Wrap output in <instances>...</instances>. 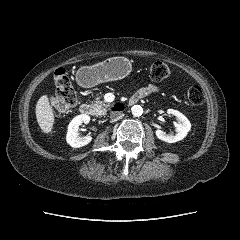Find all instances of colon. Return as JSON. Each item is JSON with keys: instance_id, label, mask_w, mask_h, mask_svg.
I'll use <instances>...</instances> for the list:
<instances>
[{"instance_id": "obj_1", "label": "colon", "mask_w": 240, "mask_h": 240, "mask_svg": "<svg viewBox=\"0 0 240 240\" xmlns=\"http://www.w3.org/2000/svg\"><path fill=\"white\" fill-rule=\"evenodd\" d=\"M170 75L171 69L166 63L157 61L151 65L150 76L153 80L162 81ZM54 86L56 93L51 98V106L55 115H61L77 103L76 91L65 68H58L54 72ZM186 98L194 106H201L205 101L204 92L198 85L187 89Z\"/></svg>"}]
</instances>
